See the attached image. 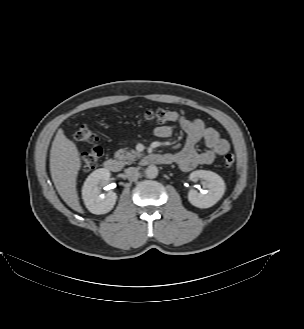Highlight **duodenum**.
<instances>
[{
    "instance_id": "410a0bca",
    "label": "duodenum",
    "mask_w": 304,
    "mask_h": 329,
    "mask_svg": "<svg viewBox=\"0 0 304 329\" xmlns=\"http://www.w3.org/2000/svg\"><path fill=\"white\" fill-rule=\"evenodd\" d=\"M144 161L149 164H164V165H169L173 162L172 158L169 155L161 154V153H155L149 155L144 159ZM103 165L105 169L113 173L119 172L122 168L121 163L117 159L112 157L105 159Z\"/></svg>"
}]
</instances>
